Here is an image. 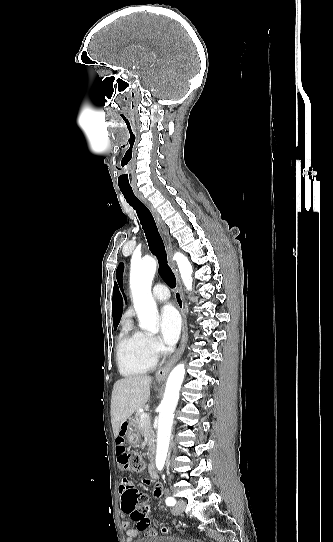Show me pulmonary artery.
<instances>
[{
	"mask_svg": "<svg viewBox=\"0 0 333 542\" xmlns=\"http://www.w3.org/2000/svg\"><path fill=\"white\" fill-rule=\"evenodd\" d=\"M151 297L159 303H164L170 298V293L167 292V287L160 283L156 284L151 290ZM191 297L192 295H188Z\"/></svg>",
	"mask_w": 333,
	"mask_h": 542,
	"instance_id": "1",
	"label": "pulmonary artery"
}]
</instances>
